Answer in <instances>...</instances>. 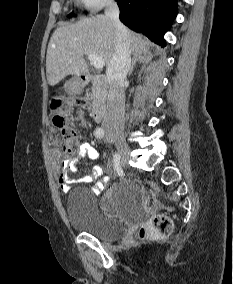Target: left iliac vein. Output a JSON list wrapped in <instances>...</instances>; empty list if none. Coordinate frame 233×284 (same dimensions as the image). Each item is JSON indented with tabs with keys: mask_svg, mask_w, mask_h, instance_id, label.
I'll return each instance as SVG.
<instances>
[{
	"mask_svg": "<svg viewBox=\"0 0 233 284\" xmlns=\"http://www.w3.org/2000/svg\"><path fill=\"white\" fill-rule=\"evenodd\" d=\"M107 139H108V141H111L110 137H108Z\"/></svg>",
	"mask_w": 233,
	"mask_h": 284,
	"instance_id": "obj_1",
	"label": "left iliac vein"
}]
</instances>
